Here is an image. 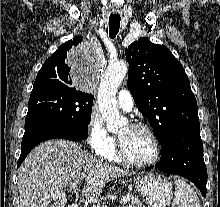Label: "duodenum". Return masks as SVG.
<instances>
[{
	"mask_svg": "<svg viewBox=\"0 0 220 207\" xmlns=\"http://www.w3.org/2000/svg\"><path fill=\"white\" fill-rule=\"evenodd\" d=\"M70 207H79L78 205H72V206H70Z\"/></svg>",
	"mask_w": 220,
	"mask_h": 207,
	"instance_id": "obj_1",
	"label": "duodenum"
}]
</instances>
